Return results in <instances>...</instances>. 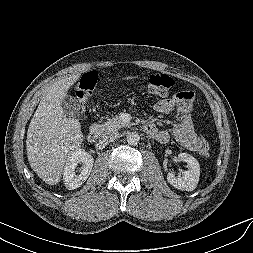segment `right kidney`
<instances>
[{
  "instance_id": "right-kidney-1",
  "label": "right kidney",
  "mask_w": 253,
  "mask_h": 253,
  "mask_svg": "<svg viewBox=\"0 0 253 253\" xmlns=\"http://www.w3.org/2000/svg\"><path fill=\"white\" fill-rule=\"evenodd\" d=\"M78 163H82V167L76 174ZM94 163L93 157L83 149L74 151L68 158L63 171V181L67 189L73 190L80 187L89 177Z\"/></svg>"
}]
</instances>
